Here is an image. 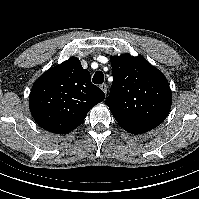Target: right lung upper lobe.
Here are the masks:
<instances>
[{"mask_svg":"<svg viewBox=\"0 0 199 199\" xmlns=\"http://www.w3.org/2000/svg\"><path fill=\"white\" fill-rule=\"evenodd\" d=\"M105 94L91 83L90 73L71 57L39 77L29 96L31 114L43 129L66 134L77 128Z\"/></svg>","mask_w":199,"mask_h":199,"instance_id":"cb5924a9","label":"right lung upper lobe"}]
</instances>
